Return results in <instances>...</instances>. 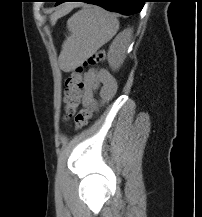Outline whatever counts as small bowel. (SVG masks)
I'll list each match as a JSON object with an SVG mask.
<instances>
[{
    "label": "small bowel",
    "mask_w": 202,
    "mask_h": 217,
    "mask_svg": "<svg viewBox=\"0 0 202 217\" xmlns=\"http://www.w3.org/2000/svg\"><path fill=\"white\" fill-rule=\"evenodd\" d=\"M83 82L84 88L81 99L84 106H89L93 102L97 82L102 84V93L106 98L112 97L117 91V81L107 70H89L84 74Z\"/></svg>",
    "instance_id": "small-bowel-1"
}]
</instances>
